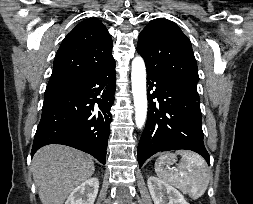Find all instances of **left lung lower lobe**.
<instances>
[{
    "instance_id": "1",
    "label": "left lung lower lobe",
    "mask_w": 253,
    "mask_h": 204,
    "mask_svg": "<svg viewBox=\"0 0 253 204\" xmlns=\"http://www.w3.org/2000/svg\"><path fill=\"white\" fill-rule=\"evenodd\" d=\"M147 86L149 110L138 145L139 167L159 151L176 149L195 151L209 164L197 88L176 84L151 72H147ZM155 98L157 103L153 102Z\"/></svg>"
}]
</instances>
